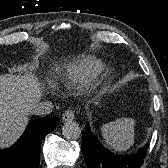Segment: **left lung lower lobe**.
I'll return each instance as SVG.
<instances>
[{
  "instance_id": "left-lung-lower-lobe-1",
  "label": "left lung lower lobe",
  "mask_w": 168,
  "mask_h": 168,
  "mask_svg": "<svg viewBox=\"0 0 168 168\" xmlns=\"http://www.w3.org/2000/svg\"><path fill=\"white\" fill-rule=\"evenodd\" d=\"M82 153L87 168H139L146 156L149 144L134 154H114L105 148L92 133L89 124L82 132Z\"/></svg>"
}]
</instances>
